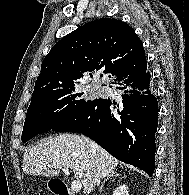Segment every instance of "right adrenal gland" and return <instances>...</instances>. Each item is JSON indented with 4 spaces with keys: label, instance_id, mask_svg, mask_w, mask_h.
<instances>
[{
    "label": "right adrenal gland",
    "instance_id": "1",
    "mask_svg": "<svg viewBox=\"0 0 189 195\" xmlns=\"http://www.w3.org/2000/svg\"><path fill=\"white\" fill-rule=\"evenodd\" d=\"M118 176H119V174H118L117 172H112V173H110V174L106 177V179L101 183V186H100V188H99V192H100V193L102 192L103 186H104V184H105V182H106L107 180H109V179H111V178H113V177L117 178Z\"/></svg>",
    "mask_w": 189,
    "mask_h": 195
}]
</instances>
